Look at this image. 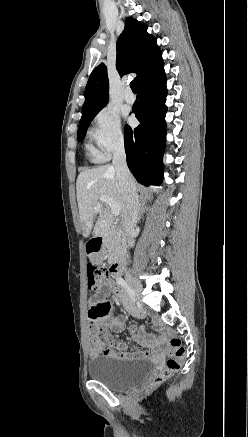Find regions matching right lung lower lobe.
I'll use <instances>...</instances> for the list:
<instances>
[{
	"mask_svg": "<svg viewBox=\"0 0 248 437\" xmlns=\"http://www.w3.org/2000/svg\"><path fill=\"white\" fill-rule=\"evenodd\" d=\"M166 95V75L161 62L138 84L132 111L140 125L135 129L125 125L124 132L127 165L136 180L145 186L162 183Z\"/></svg>",
	"mask_w": 248,
	"mask_h": 437,
	"instance_id": "98d812e1",
	"label": "right lung lower lobe"
}]
</instances>
